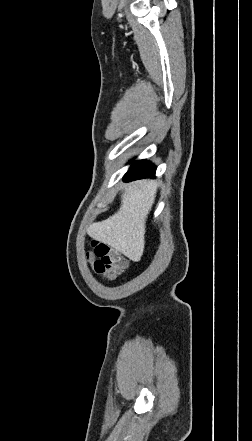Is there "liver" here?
Masks as SVG:
<instances>
[{"label":"liver","mask_w":252,"mask_h":441,"mask_svg":"<svg viewBox=\"0 0 252 441\" xmlns=\"http://www.w3.org/2000/svg\"><path fill=\"white\" fill-rule=\"evenodd\" d=\"M157 186L151 180L130 183L122 194L119 210L106 220L92 224L88 234L138 262L144 252L146 220L155 201Z\"/></svg>","instance_id":"liver-1"}]
</instances>
